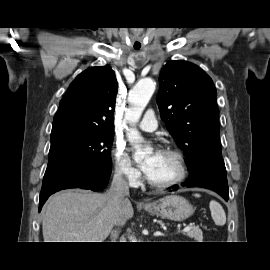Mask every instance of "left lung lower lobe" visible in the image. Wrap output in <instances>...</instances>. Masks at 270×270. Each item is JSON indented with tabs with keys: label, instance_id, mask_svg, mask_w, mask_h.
I'll return each mask as SVG.
<instances>
[{
	"label": "left lung lower lobe",
	"instance_id": "1",
	"mask_svg": "<svg viewBox=\"0 0 270 270\" xmlns=\"http://www.w3.org/2000/svg\"><path fill=\"white\" fill-rule=\"evenodd\" d=\"M186 187H203L217 192L226 201L229 199L226 168L221 163H209L197 175L189 177L183 184ZM178 189L177 185L172 186Z\"/></svg>",
	"mask_w": 270,
	"mask_h": 270
}]
</instances>
